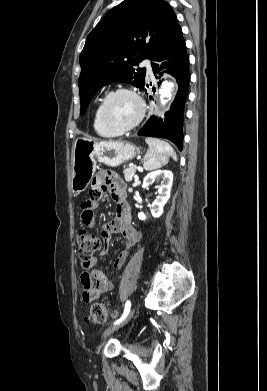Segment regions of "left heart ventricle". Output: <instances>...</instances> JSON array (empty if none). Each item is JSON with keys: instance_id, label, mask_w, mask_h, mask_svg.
I'll list each match as a JSON object with an SVG mask.
<instances>
[{"instance_id": "b2bd125f", "label": "left heart ventricle", "mask_w": 267, "mask_h": 391, "mask_svg": "<svg viewBox=\"0 0 267 391\" xmlns=\"http://www.w3.org/2000/svg\"><path fill=\"white\" fill-rule=\"evenodd\" d=\"M139 105L136 99L127 93L113 96L106 107L108 119L117 126H128L137 117Z\"/></svg>"}]
</instances>
